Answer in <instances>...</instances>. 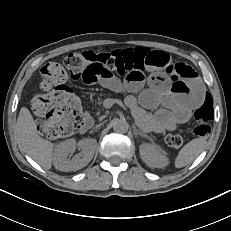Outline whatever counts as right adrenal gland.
<instances>
[{
  "label": "right adrenal gland",
  "mask_w": 231,
  "mask_h": 231,
  "mask_svg": "<svg viewBox=\"0 0 231 231\" xmlns=\"http://www.w3.org/2000/svg\"><path fill=\"white\" fill-rule=\"evenodd\" d=\"M93 132H94V130H91V131H90V133H93Z\"/></svg>",
  "instance_id": "2a0ac1e0"
}]
</instances>
